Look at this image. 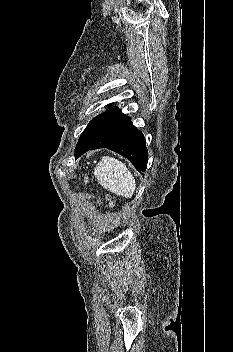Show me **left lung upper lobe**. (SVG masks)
<instances>
[{"instance_id": "1", "label": "left lung upper lobe", "mask_w": 233, "mask_h": 352, "mask_svg": "<svg viewBox=\"0 0 233 352\" xmlns=\"http://www.w3.org/2000/svg\"><path fill=\"white\" fill-rule=\"evenodd\" d=\"M109 110L103 114L95 117L91 122L88 123L85 130L82 132L79 141L76 145L75 152L87 144L89 141L99 136L107 128L126 117L121 111L113 108V106L108 105Z\"/></svg>"}]
</instances>
